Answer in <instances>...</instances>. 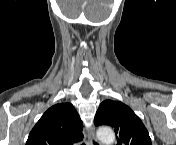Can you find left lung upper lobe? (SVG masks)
I'll use <instances>...</instances> for the list:
<instances>
[{
  "label": "left lung upper lobe",
  "mask_w": 176,
  "mask_h": 145,
  "mask_svg": "<svg viewBox=\"0 0 176 145\" xmlns=\"http://www.w3.org/2000/svg\"><path fill=\"white\" fill-rule=\"evenodd\" d=\"M94 123L114 128L117 145H152L149 133L130 107L119 101L106 100L100 104Z\"/></svg>",
  "instance_id": "5c2ea615"
}]
</instances>
